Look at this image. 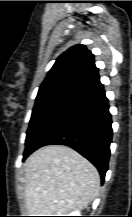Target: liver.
<instances>
[{"label":"liver","mask_w":132,"mask_h":217,"mask_svg":"<svg viewBox=\"0 0 132 217\" xmlns=\"http://www.w3.org/2000/svg\"><path fill=\"white\" fill-rule=\"evenodd\" d=\"M25 204L30 216H65L84 209L100 187V176L93 164L63 145L40 148L24 164Z\"/></svg>","instance_id":"1"}]
</instances>
